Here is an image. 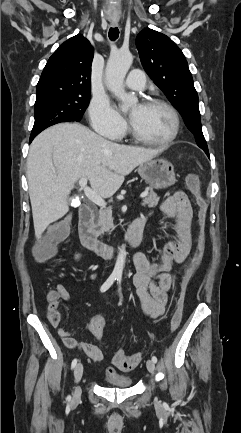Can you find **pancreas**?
Segmentation results:
<instances>
[{"label": "pancreas", "instance_id": "1", "mask_svg": "<svg viewBox=\"0 0 241 433\" xmlns=\"http://www.w3.org/2000/svg\"><path fill=\"white\" fill-rule=\"evenodd\" d=\"M160 197L157 196L155 192L150 190V193L144 198L142 205H148V207H156ZM96 233L98 235L104 234V232H109L110 229H114L112 210L111 209H100L95 215V225Z\"/></svg>", "mask_w": 241, "mask_h": 433}]
</instances>
